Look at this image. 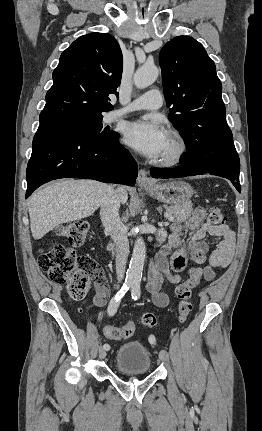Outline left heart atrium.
Returning <instances> with one entry per match:
<instances>
[{
    "instance_id": "obj_1",
    "label": "left heart atrium",
    "mask_w": 262,
    "mask_h": 431,
    "mask_svg": "<svg viewBox=\"0 0 262 431\" xmlns=\"http://www.w3.org/2000/svg\"><path fill=\"white\" fill-rule=\"evenodd\" d=\"M168 133L155 119H143L129 123L124 141L149 158H158L166 146Z\"/></svg>"
}]
</instances>
